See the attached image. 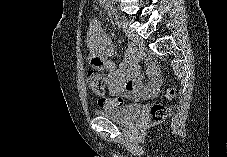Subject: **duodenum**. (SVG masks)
I'll return each mask as SVG.
<instances>
[{
    "instance_id": "410a0bca",
    "label": "duodenum",
    "mask_w": 227,
    "mask_h": 157,
    "mask_svg": "<svg viewBox=\"0 0 227 157\" xmlns=\"http://www.w3.org/2000/svg\"><path fill=\"white\" fill-rule=\"evenodd\" d=\"M111 14H112V18L114 19V21L117 22L119 20V16H118L117 12L114 9H111Z\"/></svg>"
}]
</instances>
